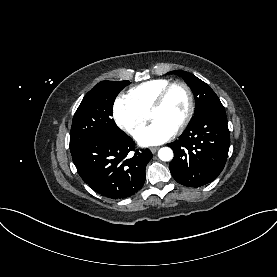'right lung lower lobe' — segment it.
Segmentation results:
<instances>
[{"label": "right lung lower lobe", "instance_id": "obj_1", "mask_svg": "<svg viewBox=\"0 0 277 277\" xmlns=\"http://www.w3.org/2000/svg\"><path fill=\"white\" fill-rule=\"evenodd\" d=\"M134 150L133 157L128 158ZM82 180L94 191L111 199L129 197L145 182V168L152 158L149 149L135 150L133 140L98 137L71 151Z\"/></svg>", "mask_w": 277, "mask_h": 277}]
</instances>
